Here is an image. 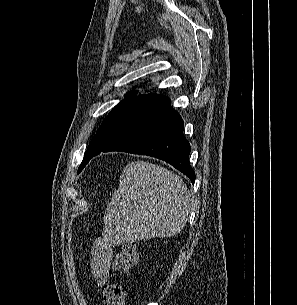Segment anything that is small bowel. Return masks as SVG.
I'll return each instance as SVG.
<instances>
[{
  "mask_svg": "<svg viewBox=\"0 0 297 305\" xmlns=\"http://www.w3.org/2000/svg\"><path fill=\"white\" fill-rule=\"evenodd\" d=\"M114 242L110 236L96 239L90 250V268L96 285L103 287L110 278Z\"/></svg>",
  "mask_w": 297,
  "mask_h": 305,
  "instance_id": "small-bowel-1",
  "label": "small bowel"
}]
</instances>
